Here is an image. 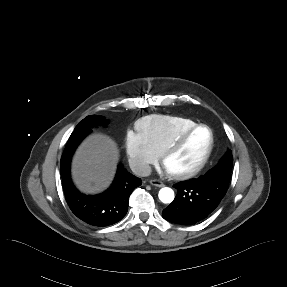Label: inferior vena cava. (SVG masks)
Segmentation results:
<instances>
[{
    "instance_id": "inferior-vena-cava-1",
    "label": "inferior vena cava",
    "mask_w": 287,
    "mask_h": 287,
    "mask_svg": "<svg viewBox=\"0 0 287 287\" xmlns=\"http://www.w3.org/2000/svg\"><path fill=\"white\" fill-rule=\"evenodd\" d=\"M130 168L134 174L141 176V177H146L151 174L150 165L144 162H139V161L131 162Z\"/></svg>"
}]
</instances>
